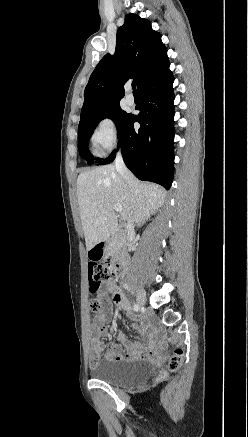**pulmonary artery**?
Instances as JSON below:
<instances>
[{"mask_svg":"<svg viewBox=\"0 0 248 437\" xmlns=\"http://www.w3.org/2000/svg\"><path fill=\"white\" fill-rule=\"evenodd\" d=\"M126 103L128 105H133L134 104V97L132 94L128 93L125 97Z\"/></svg>","mask_w":248,"mask_h":437,"instance_id":"e3ab8cb5","label":"pulmonary artery"}]
</instances>
